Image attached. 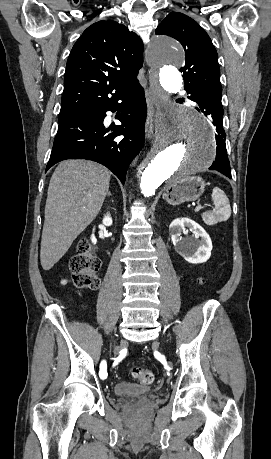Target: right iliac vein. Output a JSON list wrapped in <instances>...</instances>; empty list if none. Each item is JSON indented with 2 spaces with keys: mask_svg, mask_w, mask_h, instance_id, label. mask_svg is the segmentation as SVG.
Listing matches in <instances>:
<instances>
[{
  "mask_svg": "<svg viewBox=\"0 0 271 459\" xmlns=\"http://www.w3.org/2000/svg\"><path fill=\"white\" fill-rule=\"evenodd\" d=\"M113 348H114V350H116V346H115V344H114Z\"/></svg>",
  "mask_w": 271,
  "mask_h": 459,
  "instance_id": "63e3f726",
  "label": "right iliac vein"
}]
</instances>
